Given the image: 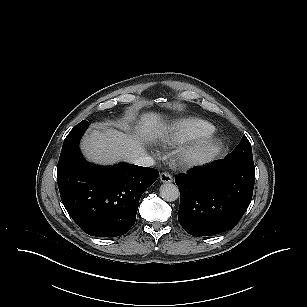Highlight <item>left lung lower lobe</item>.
Wrapping results in <instances>:
<instances>
[{"instance_id": "1", "label": "left lung lower lobe", "mask_w": 307, "mask_h": 307, "mask_svg": "<svg viewBox=\"0 0 307 307\" xmlns=\"http://www.w3.org/2000/svg\"><path fill=\"white\" fill-rule=\"evenodd\" d=\"M178 220L193 236L233 229L246 212L255 183L254 163L220 159L175 176Z\"/></svg>"}]
</instances>
